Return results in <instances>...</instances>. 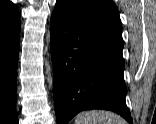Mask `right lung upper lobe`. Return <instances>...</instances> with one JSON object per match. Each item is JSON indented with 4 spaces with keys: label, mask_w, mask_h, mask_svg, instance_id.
Here are the masks:
<instances>
[{
    "label": "right lung upper lobe",
    "mask_w": 156,
    "mask_h": 124,
    "mask_svg": "<svg viewBox=\"0 0 156 124\" xmlns=\"http://www.w3.org/2000/svg\"><path fill=\"white\" fill-rule=\"evenodd\" d=\"M20 27V13L9 0H0V29Z\"/></svg>",
    "instance_id": "obj_1"
}]
</instances>
